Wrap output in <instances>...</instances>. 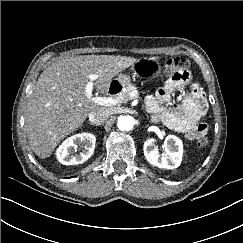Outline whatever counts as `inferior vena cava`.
I'll use <instances>...</instances> for the list:
<instances>
[{"label": "inferior vena cava", "instance_id": "602c4592", "mask_svg": "<svg viewBox=\"0 0 243 243\" xmlns=\"http://www.w3.org/2000/svg\"><path fill=\"white\" fill-rule=\"evenodd\" d=\"M109 117V112L106 108L100 107L89 114V119L93 123H101L104 122L108 119Z\"/></svg>", "mask_w": 243, "mask_h": 243}]
</instances>
